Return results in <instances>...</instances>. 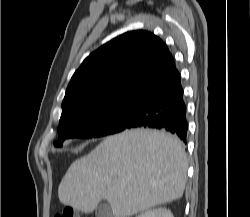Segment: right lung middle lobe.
I'll list each match as a JSON object with an SVG mask.
<instances>
[{
	"instance_id": "1",
	"label": "right lung middle lobe",
	"mask_w": 250,
	"mask_h": 217,
	"mask_svg": "<svg viewBox=\"0 0 250 217\" xmlns=\"http://www.w3.org/2000/svg\"><path fill=\"white\" fill-rule=\"evenodd\" d=\"M135 109L136 100H129L79 112L59 122V141L54 145L61 147L70 138H97L121 132L129 125Z\"/></svg>"
}]
</instances>
